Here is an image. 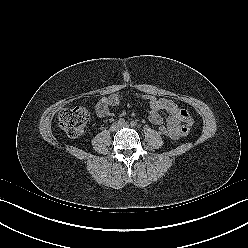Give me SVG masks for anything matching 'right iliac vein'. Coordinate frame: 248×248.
Returning a JSON list of instances; mask_svg holds the SVG:
<instances>
[{"label":"right iliac vein","instance_id":"63e3f726","mask_svg":"<svg viewBox=\"0 0 248 248\" xmlns=\"http://www.w3.org/2000/svg\"><path fill=\"white\" fill-rule=\"evenodd\" d=\"M119 129H120V124H118V123L113 124V125L111 126V128H110V130H111L112 132H116V131L119 130Z\"/></svg>","mask_w":248,"mask_h":248}]
</instances>
